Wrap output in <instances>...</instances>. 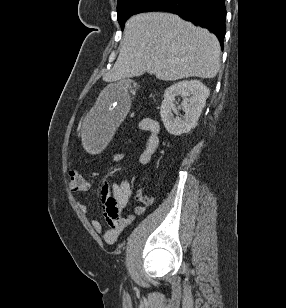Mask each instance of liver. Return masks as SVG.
<instances>
[{
	"mask_svg": "<svg viewBox=\"0 0 286 308\" xmlns=\"http://www.w3.org/2000/svg\"><path fill=\"white\" fill-rule=\"evenodd\" d=\"M119 56L105 80L114 82L145 72L159 80L214 78L220 69V44L208 30L170 13L131 17Z\"/></svg>",
	"mask_w": 286,
	"mask_h": 308,
	"instance_id": "6515ba94",
	"label": "liver"
}]
</instances>
